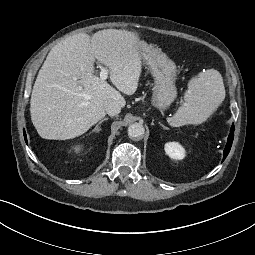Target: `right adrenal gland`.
Instances as JSON below:
<instances>
[{
	"instance_id": "2a0ac1e0",
	"label": "right adrenal gland",
	"mask_w": 255,
	"mask_h": 255,
	"mask_svg": "<svg viewBox=\"0 0 255 255\" xmlns=\"http://www.w3.org/2000/svg\"><path fill=\"white\" fill-rule=\"evenodd\" d=\"M106 120H108V118L102 119V120L94 127V129L92 130V132L100 131V130H101V129H100L101 124H102L104 121H106Z\"/></svg>"
}]
</instances>
